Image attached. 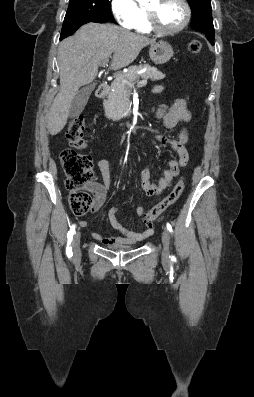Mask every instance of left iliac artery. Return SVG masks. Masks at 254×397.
<instances>
[{
    "mask_svg": "<svg viewBox=\"0 0 254 397\" xmlns=\"http://www.w3.org/2000/svg\"><path fill=\"white\" fill-rule=\"evenodd\" d=\"M167 229L169 230V232H173L172 226L169 223H167ZM171 259L174 260V257L172 256Z\"/></svg>",
    "mask_w": 254,
    "mask_h": 397,
    "instance_id": "1",
    "label": "left iliac artery"
}]
</instances>
